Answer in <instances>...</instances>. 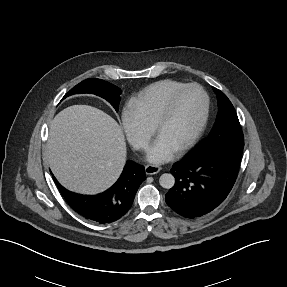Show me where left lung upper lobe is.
I'll return each instance as SVG.
<instances>
[{"instance_id": "5c2ea615", "label": "left lung upper lobe", "mask_w": 287, "mask_h": 287, "mask_svg": "<svg viewBox=\"0 0 287 287\" xmlns=\"http://www.w3.org/2000/svg\"><path fill=\"white\" fill-rule=\"evenodd\" d=\"M218 98V115L210 134L200 144L210 148L220 147L223 143L244 146V136L236 111L227 96L214 88Z\"/></svg>"}]
</instances>
